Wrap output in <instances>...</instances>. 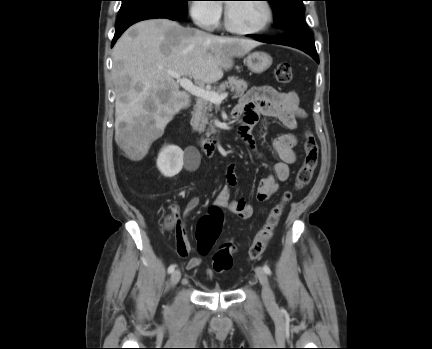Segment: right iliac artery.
I'll use <instances>...</instances> for the list:
<instances>
[{"label":"right iliac artery","mask_w":432,"mask_h":349,"mask_svg":"<svg viewBox=\"0 0 432 349\" xmlns=\"http://www.w3.org/2000/svg\"><path fill=\"white\" fill-rule=\"evenodd\" d=\"M174 269H175V265L174 264L170 265L168 268V273H172Z\"/></svg>","instance_id":"1"}]
</instances>
